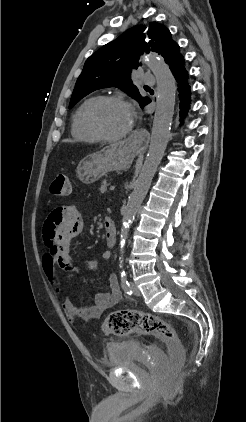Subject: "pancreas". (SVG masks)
Returning <instances> with one entry per match:
<instances>
[{
    "mask_svg": "<svg viewBox=\"0 0 246 422\" xmlns=\"http://www.w3.org/2000/svg\"><path fill=\"white\" fill-rule=\"evenodd\" d=\"M107 186H108V184H107V180H106V179H104V180L102 181L101 187H100V189H99L100 193H104V192H106V190H107Z\"/></svg>",
    "mask_w": 246,
    "mask_h": 422,
    "instance_id": "obj_1",
    "label": "pancreas"
}]
</instances>
